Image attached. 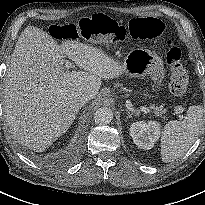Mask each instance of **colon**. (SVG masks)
<instances>
[{
  "mask_svg": "<svg viewBox=\"0 0 205 205\" xmlns=\"http://www.w3.org/2000/svg\"><path fill=\"white\" fill-rule=\"evenodd\" d=\"M129 35L134 40H153L158 38L164 30L162 22L154 17H136L129 22ZM49 33L58 41L83 39L88 42L105 44L121 43L125 39V32L108 16L102 13L85 17L77 24H52ZM171 77L169 87L173 94L181 96L188 88L189 77L181 60L179 47L170 41L166 54Z\"/></svg>",
  "mask_w": 205,
  "mask_h": 205,
  "instance_id": "1",
  "label": "colon"
}]
</instances>
